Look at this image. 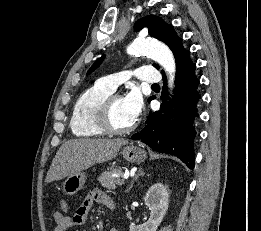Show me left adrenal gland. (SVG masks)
I'll list each match as a JSON object with an SVG mask.
<instances>
[{
    "label": "left adrenal gland",
    "mask_w": 261,
    "mask_h": 231,
    "mask_svg": "<svg viewBox=\"0 0 261 231\" xmlns=\"http://www.w3.org/2000/svg\"><path fill=\"white\" fill-rule=\"evenodd\" d=\"M144 175H145V173H144L143 169H142V168H139V170H138L136 176H135L134 179L131 181L130 186H129L128 189L126 190V193H128V192L132 189L134 182H135L136 180H138V178H139L140 176H144Z\"/></svg>",
    "instance_id": "a2214340"
}]
</instances>
